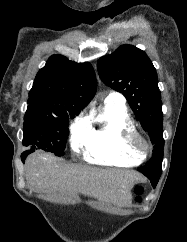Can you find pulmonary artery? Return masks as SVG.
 Listing matches in <instances>:
<instances>
[{"mask_svg":"<svg viewBox=\"0 0 187 242\" xmlns=\"http://www.w3.org/2000/svg\"><path fill=\"white\" fill-rule=\"evenodd\" d=\"M105 102L108 103H119V104H124L125 100L124 97L116 92H111L106 98Z\"/></svg>","mask_w":187,"mask_h":242,"instance_id":"e3ab8cb5","label":"pulmonary artery"}]
</instances>
